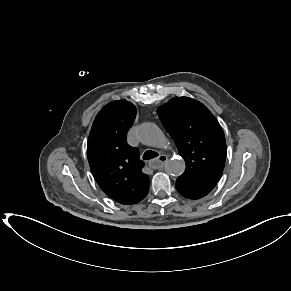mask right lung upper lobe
I'll return each mask as SVG.
<instances>
[{
	"label": "right lung upper lobe",
	"instance_id": "1",
	"mask_svg": "<svg viewBox=\"0 0 291 291\" xmlns=\"http://www.w3.org/2000/svg\"><path fill=\"white\" fill-rule=\"evenodd\" d=\"M135 116L131 102H110L97 114L87 144L94 179L107 196L121 204L139 203L149 190V176L142 172L139 151L126 141Z\"/></svg>",
	"mask_w": 291,
	"mask_h": 291
}]
</instances>
